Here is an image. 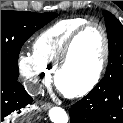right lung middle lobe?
<instances>
[{
  "mask_svg": "<svg viewBox=\"0 0 123 123\" xmlns=\"http://www.w3.org/2000/svg\"><path fill=\"white\" fill-rule=\"evenodd\" d=\"M57 16L53 12L1 11V81L18 80L21 47L33 33Z\"/></svg>",
  "mask_w": 123,
  "mask_h": 123,
  "instance_id": "right-lung-middle-lobe-1",
  "label": "right lung middle lobe"
}]
</instances>
